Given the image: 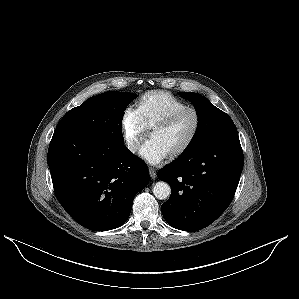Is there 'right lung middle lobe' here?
<instances>
[{"label": "right lung middle lobe", "instance_id": "obj_1", "mask_svg": "<svg viewBox=\"0 0 299 299\" xmlns=\"http://www.w3.org/2000/svg\"><path fill=\"white\" fill-rule=\"evenodd\" d=\"M136 97L133 93L117 91L93 96L67 112L58 123L56 131L102 137L124 143L121 129L124 111Z\"/></svg>", "mask_w": 299, "mask_h": 299}]
</instances>
